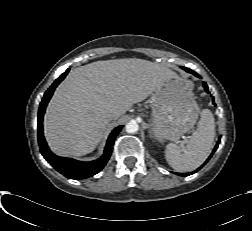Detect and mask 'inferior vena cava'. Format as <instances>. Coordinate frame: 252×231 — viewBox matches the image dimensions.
Segmentation results:
<instances>
[{
  "instance_id": "inferior-vena-cava-1",
  "label": "inferior vena cava",
  "mask_w": 252,
  "mask_h": 231,
  "mask_svg": "<svg viewBox=\"0 0 252 231\" xmlns=\"http://www.w3.org/2000/svg\"><path fill=\"white\" fill-rule=\"evenodd\" d=\"M114 117H115L114 114H110V115H109V118H110V119H113Z\"/></svg>"
}]
</instances>
